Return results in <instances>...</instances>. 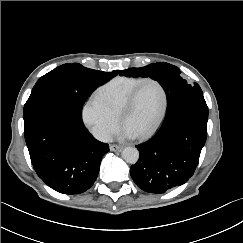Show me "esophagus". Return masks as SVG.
I'll use <instances>...</instances> for the list:
<instances>
[{"instance_id":"esophagus-1","label":"esophagus","mask_w":243,"mask_h":243,"mask_svg":"<svg viewBox=\"0 0 243 243\" xmlns=\"http://www.w3.org/2000/svg\"><path fill=\"white\" fill-rule=\"evenodd\" d=\"M122 149H123L122 146L115 145V144L110 145V150H111V151H121Z\"/></svg>"}]
</instances>
